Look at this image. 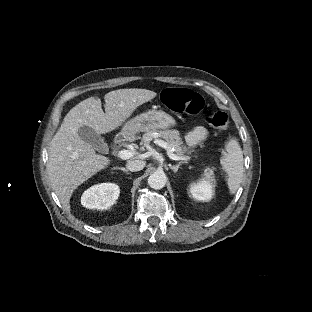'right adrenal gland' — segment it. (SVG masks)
Returning a JSON list of instances; mask_svg holds the SVG:
<instances>
[{"label":"right adrenal gland","instance_id":"obj_1","mask_svg":"<svg viewBox=\"0 0 312 312\" xmlns=\"http://www.w3.org/2000/svg\"><path fill=\"white\" fill-rule=\"evenodd\" d=\"M117 170L124 172L126 175H131V172H129L126 168H117Z\"/></svg>","mask_w":312,"mask_h":312}]
</instances>
